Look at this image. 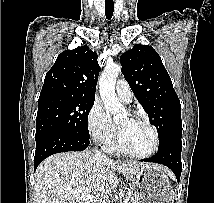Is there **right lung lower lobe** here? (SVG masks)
Masks as SVG:
<instances>
[{"mask_svg":"<svg viewBox=\"0 0 214 203\" xmlns=\"http://www.w3.org/2000/svg\"><path fill=\"white\" fill-rule=\"evenodd\" d=\"M89 140L63 133L45 134L36 140L34 158L35 169L48 156L60 152L83 151L89 145Z\"/></svg>","mask_w":214,"mask_h":203,"instance_id":"1","label":"right lung lower lobe"}]
</instances>
